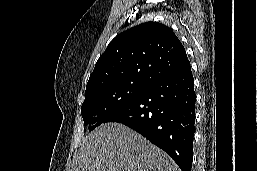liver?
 <instances>
[{
	"label": "liver",
	"mask_w": 257,
	"mask_h": 171,
	"mask_svg": "<svg viewBox=\"0 0 257 171\" xmlns=\"http://www.w3.org/2000/svg\"><path fill=\"white\" fill-rule=\"evenodd\" d=\"M71 171H180L160 148L127 126L111 122L81 142Z\"/></svg>",
	"instance_id": "6515ba94"
}]
</instances>
